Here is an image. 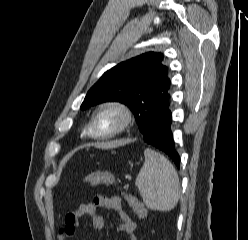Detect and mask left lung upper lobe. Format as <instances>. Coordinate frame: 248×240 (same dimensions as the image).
Returning a JSON list of instances; mask_svg holds the SVG:
<instances>
[{
	"label": "left lung upper lobe",
	"mask_w": 248,
	"mask_h": 240,
	"mask_svg": "<svg viewBox=\"0 0 248 240\" xmlns=\"http://www.w3.org/2000/svg\"><path fill=\"white\" fill-rule=\"evenodd\" d=\"M162 61V53L148 52L119 63L92 86L81 109L106 101L121 102L134 113L144 133L152 118L170 101L168 68Z\"/></svg>",
	"instance_id": "5c2ea615"
}]
</instances>
